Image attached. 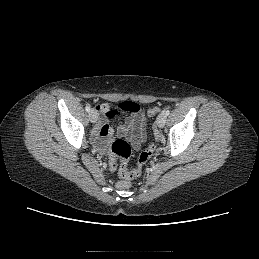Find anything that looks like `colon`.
<instances>
[{"instance_id": "colon-1", "label": "colon", "mask_w": 259, "mask_h": 259, "mask_svg": "<svg viewBox=\"0 0 259 259\" xmlns=\"http://www.w3.org/2000/svg\"><path fill=\"white\" fill-rule=\"evenodd\" d=\"M118 109L125 112H136L139 110V105L137 103L131 101L121 102L118 105ZM159 109L156 107L150 108L148 110V115L150 117L158 114ZM112 156L110 158V167L112 169H116L117 167V158L121 160L120 164V175L121 180L116 183L117 188L119 189H128L131 186L130 180L139 177L142 173L143 167L148 163V161L152 158L155 152V146L153 144H149L139 155L138 158V167L133 171H129L127 168L128 159L131 153L130 145L122 140L117 139L112 144Z\"/></svg>"}]
</instances>
